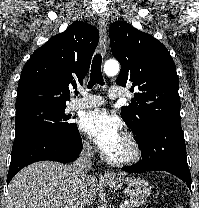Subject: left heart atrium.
<instances>
[{"label": "left heart atrium", "mask_w": 199, "mask_h": 208, "mask_svg": "<svg viewBox=\"0 0 199 208\" xmlns=\"http://www.w3.org/2000/svg\"><path fill=\"white\" fill-rule=\"evenodd\" d=\"M79 128L92 138L106 155L123 139L121 122L106 110H93L84 114L80 119Z\"/></svg>", "instance_id": "left-heart-atrium-1"}]
</instances>
